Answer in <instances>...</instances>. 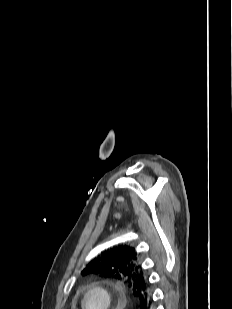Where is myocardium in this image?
<instances>
[{"label": "myocardium", "instance_id": "f54148a6", "mask_svg": "<svg viewBox=\"0 0 232 309\" xmlns=\"http://www.w3.org/2000/svg\"><path fill=\"white\" fill-rule=\"evenodd\" d=\"M93 292L101 294L102 297L104 298L105 304L102 309H111L113 305V294L107 286L102 284H93L86 289L81 300L82 309H87L86 305L87 298Z\"/></svg>", "mask_w": 232, "mask_h": 309}]
</instances>
